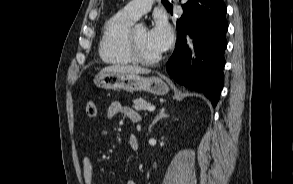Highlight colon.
<instances>
[{"label":"colon","instance_id":"1","mask_svg":"<svg viewBox=\"0 0 293 184\" xmlns=\"http://www.w3.org/2000/svg\"><path fill=\"white\" fill-rule=\"evenodd\" d=\"M86 114L89 118H94L97 114L96 103L92 100L88 101L86 104Z\"/></svg>","mask_w":293,"mask_h":184}]
</instances>
